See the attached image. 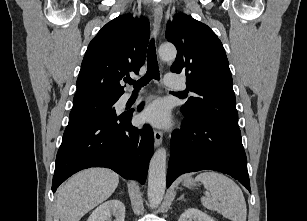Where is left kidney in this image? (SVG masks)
Masks as SVG:
<instances>
[{
    "label": "left kidney",
    "mask_w": 307,
    "mask_h": 221,
    "mask_svg": "<svg viewBox=\"0 0 307 221\" xmlns=\"http://www.w3.org/2000/svg\"><path fill=\"white\" fill-rule=\"evenodd\" d=\"M178 221H215V220L208 214L198 209L189 208L183 214H181Z\"/></svg>",
    "instance_id": "5707ae66"
}]
</instances>
